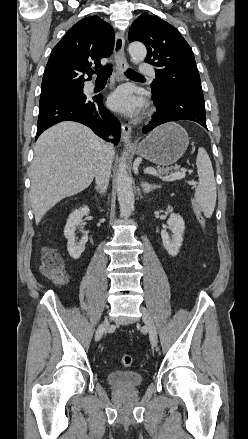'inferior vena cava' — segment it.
<instances>
[{"instance_id": "obj_1", "label": "inferior vena cava", "mask_w": 248, "mask_h": 439, "mask_svg": "<svg viewBox=\"0 0 248 439\" xmlns=\"http://www.w3.org/2000/svg\"><path fill=\"white\" fill-rule=\"evenodd\" d=\"M114 156L113 145L106 143L103 148V155L95 172V181L100 193L104 194L109 183L112 160Z\"/></svg>"}]
</instances>
